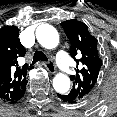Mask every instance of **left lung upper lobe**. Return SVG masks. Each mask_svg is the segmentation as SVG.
I'll return each instance as SVG.
<instances>
[{"instance_id":"5c2ea615","label":"left lung upper lobe","mask_w":117,"mask_h":117,"mask_svg":"<svg viewBox=\"0 0 117 117\" xmlns=\"http://www.w3.org/2000/svg\"><path fill=\"white\" fill-rule=\"evenodd\" d=\"M68 39L71 42L70 55L81 66L77 69L76 75L71 76L73 88L70 91L77 100L85 99L94 88L102 65L97 50V40L92 36L88 27L80 21L68 20L61 23ZM75 56L80 57L79 60Z\"/></svg>"}]
</instances>
